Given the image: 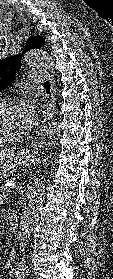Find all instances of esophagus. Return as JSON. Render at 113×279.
Masks as SVG:
<instances>
[{
  "instance_id": "obj_1",
  "label": "esophagus",
  "mask_w": 113,
  "mask_h": 279,
  "mask_svg": "<svg viewBox=\"0 0 113 279\" xmlns=\"http://www.w3.org/2000/svg\"><path fill=\"white\" fill-rule=\"evenodd\" d=\"M48 81H49V84H50V91H51L50 110H49L48 114L46 115V117L44 118V120L42 122V127L52 119V117L55 113V110H56V85H55V81L51 76H48ZM42 145H43V143H42L41 137L38 133V135L36 136L32 146H31V148L26 150L25 154L30 155V154H33V153H37L38 151L41 150Z\"/></svg>"
}]
</instances>
